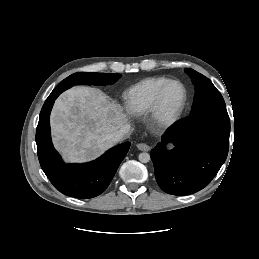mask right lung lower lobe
I'll use <instances>...</instances> for the list:
<instances>
[{
  "instance_id": "1",
  "label": "right lung lower lobe",
  "mask_w": 259,
  "mask_h": 259,
  "mask_svg": "<svg viewBox=\"0 0 259 259\" xmlns=\"http://www.w3.org/2000/svg\"><path fill=\"white\" fill-rule=\"evenodd\" d=\"M58 96L50 94L40 112L36 144L41 168L54 187L67 196L82 199L98 196L111 182L129 150L130 142L111 148L92 162L64 163L54 149L50 135V112Z\"/></svg>"
}]
</instances>
